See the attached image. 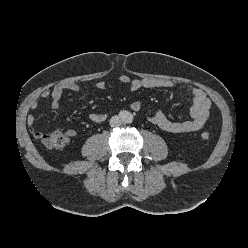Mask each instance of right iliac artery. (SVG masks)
<instances>
[{
  "label": "right iliac artery",
  "mask_w": 248,
  "mask_h": 248,
  "mask_svg": "<svg viewBox=\"0 0 248 248\" xmlns=\"http://www.w3.org/2000/svg\"><path fill=\"white\" fill-rule=\"evenodd\" d=\"M119 115L120 116H124L125 115V112L124 111H121Z\"/></svg>",
  "instance_id": "82829eb1"
}]
</instances>
